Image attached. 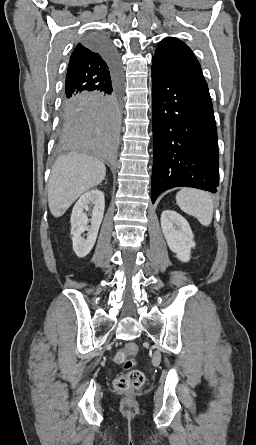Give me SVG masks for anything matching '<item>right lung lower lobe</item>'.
<instances>
[{
	"label": "right lung lower lobe",
	"instance_id": "obj_1",
	"mask_svg": "<svg viewBox=\"0 0 256 445\" xmlns=\"http://www.w3.org/2000/svg\"><path fill=\"white\" fill-rule=\"evenodd\" d=\"M85 43L98 49L108 63L111 81L100 91L63 99L61 143L64 147L114 163L121 125V74L115 48L103 35Z\"/></svg>",
	"mask_w": 256,
	"mask_h": 445
}]
</instances>
